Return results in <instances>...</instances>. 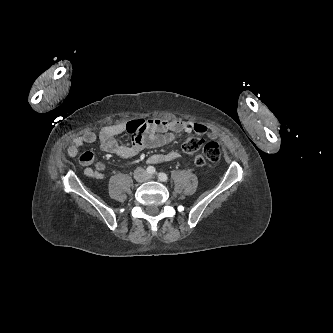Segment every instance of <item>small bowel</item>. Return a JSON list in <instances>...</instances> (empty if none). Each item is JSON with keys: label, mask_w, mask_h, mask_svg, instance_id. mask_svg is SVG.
Instances as JSON below:
<instances>
[{"label": "small bowel", "mask_w": 333, "mask_h": 333, "mask_svg": "<svg viewBox=\"0 0 333 333\" xmlns=\"http://www.w3.org/2000/svg\"><path fill=\"white\" fill-rule=\"evenodd\" d=\"M193 131L199 135H205L210 140L215 139V134L198 122L184 121L180 119H132L126 123H117L103 127L98 134L86 132L75 138L67 149L70 157L79 155L80 149L89 144L98 142L102 150L112 153L121 159H129L138 154L143 148H157L173 141L184 132ZM124 132L133 136L130 146L119 144L116 137ZM180 154L170 151L165 154H154L149 157V162L159 164L177 160ZM80 163L85 167V175L89 178L101 180L104 172L101 167H91L94 156L91 152L80 154Z\"/></svg>", "instance_id": "small-bowel-1"}]
</instances>
